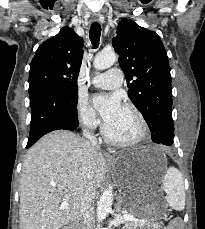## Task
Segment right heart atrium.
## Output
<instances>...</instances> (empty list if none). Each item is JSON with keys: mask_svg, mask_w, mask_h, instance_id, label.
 Here are the masks:
<instances>
[{"mask_svg": "<svg viewBox=\"0 0 205 229\" xmlns=\"http://www.w3.org/2000/svg\"><path fill=\"white\" fill-rule=\"evenodd\" d=\"M76 116L79 124L86 129H94L99 124L95 111L83 98H78L76 103Z\"/></svg>", "mask_w": 205, "mask_h": 229, "instance_id": "1", "label": "right heart atrium"}]
</instances>
